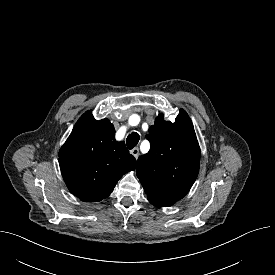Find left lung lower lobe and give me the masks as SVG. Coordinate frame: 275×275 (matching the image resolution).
I'll return each mask as SVG.
<instances>
[{"mask_svg": "<svg viewBox=\"0 0 275 275\" xmlns=\"http://www.w3.org/2000/svg\"><path fill=\"white\" fill-rule=\"evenodd\" d=\"M150 203H152L154 206L157 207H168L173 205V202H168V201H159V200H153V199H149Z\"/></svg>", "mask_w": 275, "mask_h": 275, "instance_id": "1", "label": "left lung lower lobe"}]
</instances>
